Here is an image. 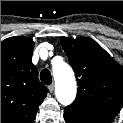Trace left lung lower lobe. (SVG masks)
Returning <instances> with one entry per match:
<instances>
[{
  "instance_id": "0a47b994",
  "label": "left lung lower lobe",
  "mask_w": 123,
  "mask_h": 123,
  "mask_svg": "<svg viewBox=\"0 0 123 123\" xmlns=\"http://www.w3.org/2000/svg\"><path fill=\"white\" fill-rule=\"evenodd\" d=\"M64 119L67 123H110L112 120L88 113L80 108L66 107Z\"/></svg>"
}]
</instances>
